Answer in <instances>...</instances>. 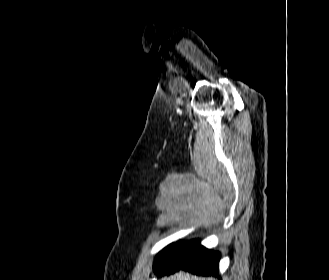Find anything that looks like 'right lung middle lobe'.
I'll return each instance as SVG.
<instances>
[{
	"instance_id": "dd1d6c3e",
	"label": "right lung middle lobe",
	"mask_w": 329,
	"mask_h": 280,
	"mask_svg": "<svg viewBox=\"0 0 329 280\" xmlns=\"http://www.w3.org/2000/svg\"><path fill=\"white\" fill-rule=\"evenodd\" d=\"M171 245H172V244H171ZM171 245L167 246L165 249H163V250L158 254V256H157L156 259H155V264H154V266L158 264V262L161 260V258L163 257V255L169 250V248L171 247Z\"/></svg>"
}]
</instances>
